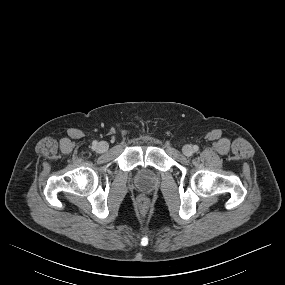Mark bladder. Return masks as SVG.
Returning a JSON list of instances; mask_svg holds the SVG:
<instances>
[{
    "instance_id": "obj_1",
    "label": "bladder",
    "mask_w": 285,
    "mask_h": 285,
    "mask_svg": "<svg viewBox=\"0 0 285 285\" xmlns=\"http://www.w3.org/2000/svg\"><path fill=\"white\" fill-rule=\"evenodd\" d=\"M137 182L143 187H150L154 183V176L149 170L142 169L137 174Z\"/></svg>"
}]
</instances>
